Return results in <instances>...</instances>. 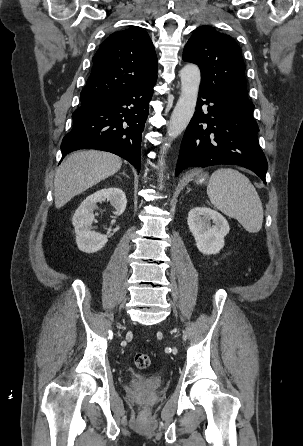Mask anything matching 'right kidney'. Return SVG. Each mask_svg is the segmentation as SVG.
<instances>
[{"mask_svg":"<svg viewBox=\"0 0 303 446\" xmlns=\"http://www.w3.org/2000/svg\"><path fill=\"white\" fill-rule=\"evenodd\" d=\"M109 201L115 208V214L121 215L126 209L127 199L125 193L116 187L104 188L89 195L75 211L72 223L76 233L78 249L85 253H95L105 246L108 239L106 235L96 232L92 228L94 210L98 202Z\"/></svg>","mask_w":303,"mask_h":446,"instance_id":"1","label":"right kidney"}]
</instances>
